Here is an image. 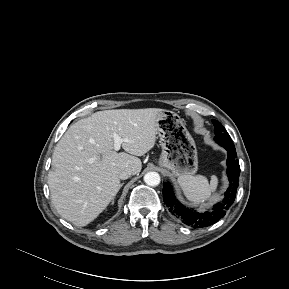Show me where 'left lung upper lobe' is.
Instances as JSON below:
<instances>
[{
    "instance_id": "left-lung-upper-lobe-1",
    "label": "left lung upper lobe",
    "mask_w": 289,
    "mask_h": 289,
    "mask_svg": "<svg viewBox=\"0 0 289 289\" xmlns=\"http://www.w3.org/2000/svg\"><path fill=\"white\" fill-rule=\"evenodd\" d=\"M212 123L214 125L215 128V141L217 143H219L220 145H224V144H230L232 143L231 137L228 134V132L226 131V129L222 126V124L220 122H218L217 120H212Z\"/></svg>"
}]
</instances>
